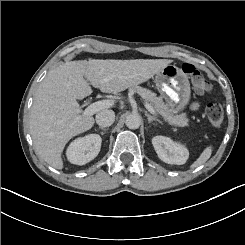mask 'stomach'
I'll use <instances>...</instances> for the list:
<instances>
[{"instance_id":"obj_1","label":"stomach","mask_w":245,"mask_h":245,"mask_svg":"<svg viewBox=\"0 0 245 245\" xmlns=\"http://www.w3.org/2000/svg\"><path fill=\"white\" fill-rule=\"evenodd\" d=\"M160 94L172 106L182 110L190 99V83L182 69L168 64L155 76Z\"/></svg>"}]
</instances>
